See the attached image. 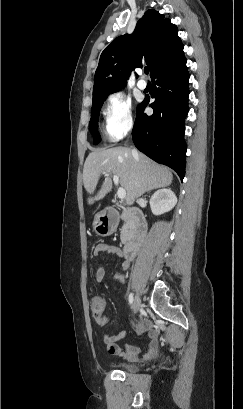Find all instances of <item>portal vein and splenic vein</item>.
<instances>
[{
    "mask_svg": "<svg viewBox=\"0 0 243 409\" xmlns=\"http://www.w3.org/2000/svg\"><path fill=\"white\" fill-rule=\"evenodd\" d=\"M107 174V173H105ZM113 181L115 185H119V177L117 175H113ZM117 196L119 199L123 200L126 198V190L123 187H119L117 191Z\"/></svg>",
    "mask_w": 243,
    "mask_h": 409,
    "instance_id": "18ae733b",
    "label": "portal vein and splenic vein"
}]
</instances>
